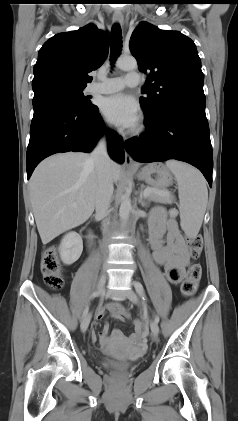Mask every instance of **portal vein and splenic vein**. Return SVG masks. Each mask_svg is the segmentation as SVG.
Returning a JSON list of instances; mask_svg holds the SVG:
<instances>
[{"label":"portal vein and splenic vein","mask_w":238,"mask_h":421,"mask_svg":"<svg viewBox=\"0 0 238 421\" xmlns=\"http://www.w3.org/2000/svg\"><path fill=\"white\" fill-rule=\"evenodd\" d=\"M150 194H157V195H168V192L154 190V189H145L143 192L144 197H148Z\"/></svg>","instance_id":"portal-vein-and-splenic-vein-1"}]
</instances>
